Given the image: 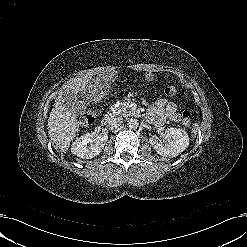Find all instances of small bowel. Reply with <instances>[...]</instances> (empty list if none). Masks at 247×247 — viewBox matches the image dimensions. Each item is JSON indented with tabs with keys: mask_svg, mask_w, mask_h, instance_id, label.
<instances>
[{
	"mask_svg": "<svg viewBox=\"0 0 247 247\" xmlns=\"http://www.w3.org/2000/svg\"><path fill=\"white\" fill-rule=\"evenodd\" d=\"M146 78L148 80H153L154 72H147ZM148 119L155 125H162L166 119L179 121L180 115L177 113V107L175 103L161 99L149 107Z\"/></svg>",
	"mask_w": 247,
	"mask_h": 247,
	"instance_id": "small-bowel-1",
	"label": "small bowel"
}]
</instances>
